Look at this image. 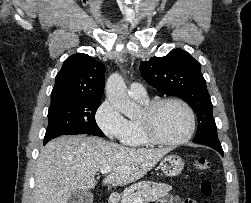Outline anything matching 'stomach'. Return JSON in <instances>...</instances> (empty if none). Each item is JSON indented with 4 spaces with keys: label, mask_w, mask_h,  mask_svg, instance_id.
Here are the masks:
<instances>
[{
    "label": "stomach",
    "mask_w": 251,
    "mask_h": 203,
    "mask_svg": "<svg viewBox=\"0 0 251 203\" xmlns=\"http://www.w3.org/2000/svg\"><path fill=\"white\" fill-rule=\"evenodd\" d=\"M159 168L167 177L177 176L184 168V161L178 155H168L162 158Z\"/></svg>",
    "instance_id": "obj_1"
}]
</instances>
